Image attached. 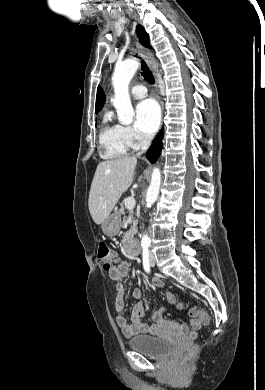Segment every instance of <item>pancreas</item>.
<instances>
[{"label":"pancreas","mask_w":265,"mask_h":390,"mask_svg":"<svg viewBox=\"0 0 265 390\" xmlns=\"http://www.w3.org/2000/svg\"><path fill=\"white\" fill-rule=\"evenodd\" d=\"M126 210H127V208H124L123 206H121V209L119 211L120 214L124 216L123 222L126 221ZM137 224H138V221L136 219H133L131 229L124 234L123 243H125L128 239L132 238L133 235L137 232Z\"/></svg>","instance_id":"obj_1"}]
</instances>
